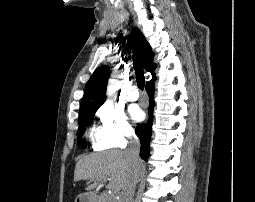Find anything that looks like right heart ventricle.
Here are the masks:
<instances>
[{"mask_svg": "<svg viewBox=\"0 0 255 202\" xmlns=\"http://www.w3.org/2000/svg\"><path fill=\"white\" fill-rule=\"evenodd\" d=\"M99 135H100V131H98L96 128H92L91 131H90V136L92 138H95L98 140L99 138Z\"/></svg>", "mask_w": 255, "mask_h": 202, "instance_id": "e07e8e85", "label": "right heart ventricle"}]
</instances>
